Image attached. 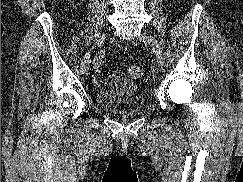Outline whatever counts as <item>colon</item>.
Masks as SVG:
<instances>
[{"instance_id": "colon-1", "label": "colon", "mask_w": 243, "mask_h": 182, "mask_svg": "<svg viewBox=\"0 0 243 182\" xmlns=\"http://www.w3.org/2000/svg\"><path fill=\"white\" fill-rule=\"evenodd\" d=\"M128 74L131 78L138 79L143 75V69L139 66H133L128 69Z\"/></svg>"}]
</instances>
